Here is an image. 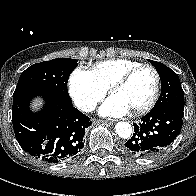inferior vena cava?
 Returning a JSON list of instances; mask_svg holds the SVG:
<instances>
[{"mask_svg":"<svg viewBox=\"0 0 196 196\" xmlns=\"http://www.w3.org/2000/svg\"><path fill=\"white\" fill-rule=\"evenodd\" d=\"M77 107L84 112H91L96 108V105L90 101H80Z\"/></svg>","mask_w":196,"mask_h":196,"instance_id":"obj_1","label":"inferior vena cava"}]
</instances>
